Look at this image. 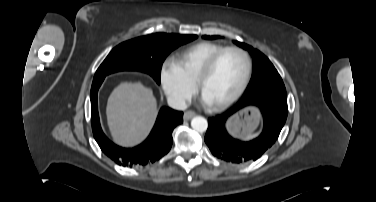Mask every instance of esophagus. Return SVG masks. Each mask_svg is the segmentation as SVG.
Returning <instances> with one entry per match:
<instances>
[{
  "mask_svg": "<svg viewBox=\"0 0 376 202\" xmlns=\"http://www.w3.org/2000/svg\"><path fill=\"white\" fill-rule=\"evenodd\" d=\"M195 115H196V113L194 111H186L184 113V120H189L192 117H194Z\"/></svg>",
  "mask_w": 376,
  "mask_h": 202,
  "instance_id": "esophagus-1",
  "label": "esophagus"
}]
</instances>
